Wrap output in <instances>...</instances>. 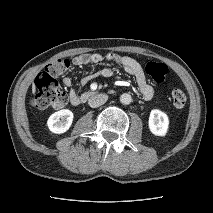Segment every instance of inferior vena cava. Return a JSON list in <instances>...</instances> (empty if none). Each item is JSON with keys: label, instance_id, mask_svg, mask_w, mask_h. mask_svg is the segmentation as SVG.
I'll use <instances>...</instances> for the list:
<instances>
[{"label": "inferior vena cava", "instance_id": "1", "mask_svg": "<svg viewBox=\"0 0 213 213\" xmlns=\"http://www.w3.org/2000/svg\"><path fill=\"white\" fill-rule=\"evenodd\" d=\"M107 100L108 96L106 94H97L89 98L88 104L92 108H97L103 105Z\"/></svg>", "mask_w": 213, "mask_h": 213}]
</instances>
